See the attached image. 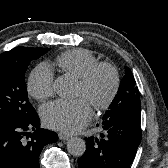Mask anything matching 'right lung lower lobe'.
<instances>
[{
  "label": "right lung lower lobe",
  "mask_w": 168,
  "mask_h": 168,
  "mask_svg": "<svg viewBox=\"0 0 168 168\" xmlns=\"http://www.w3.org/2000/svg\"><path fill=\"white\" fill-rule=\"evenodd\" d=\"M55 132L40 128L38 115L28 119H0V168H39V155Z\"/></svg>",
  "instance_id": "98d812e1"
}]
</instances>
